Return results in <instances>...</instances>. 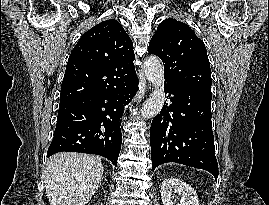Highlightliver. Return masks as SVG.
Here are the masks:
<instances>
[{
	"label": "liver",
	"mask_w": 269,
	"mask_h": 205,
	"mask_svg": "<svg viewBox=\"0 0 269 205\" xmlns=\"http://www.w3.org/2000/svg\"><path fill=\"white\" fill-rule=\"evenodd\" d=\"M104 167L89 154L61 152L46 167L45 187L50 205H85L101 185Z\"/></svg>",
	"instance_id": "6515ba94"
}]
</instances>
